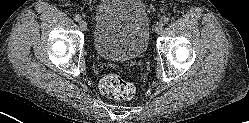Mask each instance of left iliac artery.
<instances>
[{
  "label": "left iliac artery",
  "instance_id": "left-iliac-artery-1",
  "mask_svg": "<svg viewBox=\"0 0 249 123\" xmlns=\"http://www.w3.org/2000/svg\"><path fill=\"white\" fill-rule=\"evenodd\" d=\"M162 23L167 24L169 22V18L164 16L161 18Z\"/></svg>",
  "mask_w": 249,
  "mask_h": 123
}]
</instances>
